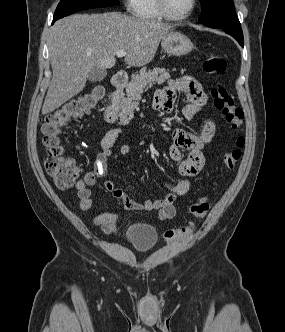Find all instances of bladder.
<instances>
[{"instance_id":"1","label":"bladder","mask_w":285,"mask_h":332,"mask_svg":"<svg viewBox=\"0 0 285 332\" xmlns=\"http://www.w3.org/2000/svg\"><path fill=\"white\" fill-rule=\"evenodd\" d=\"M118 226L119 218L116 215H108L102 222V229L106 233L116 232ZM126 239L136 251L147 252L156 246L158 234L152 226L139 223L128 228Z\"/></svg>"}]
</instances>
